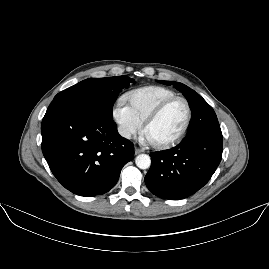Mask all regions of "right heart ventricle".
I'll return each mask as SVG.
<instances>
[{
  "mask_svg": "<svg viewBox=\"0 0 269 269\" xmlns=\"http://www.w3.org/2000/svg\"><path fill=\"white\" fill-rule=\"evenodd\" d=\"M174 97H177V94L170 89L151 86L131 91L128 94V101L131 111L143 125L153 110Z\"/></svg>",
  "mask_w": 269,
  "mask_h": 269,
  "instance_id": "obj_1",
  "label": "right heart ventricle"
}]
</instances>
